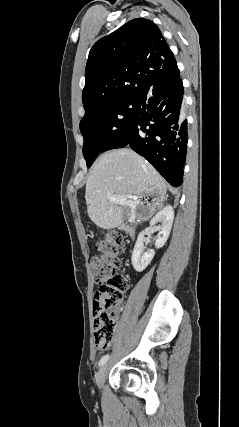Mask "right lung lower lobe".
<instances>
[{
    "instance_id": "98d812e1",
    "label": "right lung lower lobe",
    "mask_w": 239,
    "mask_h": 427,
    "mask_svg": "<svg viewBox=\"0 0 239 427\" xmlns=\"http://www.w3.org/2000/svg\"><path fill=\"white\" fill-rule=\"evenodd\" d=\"M179 73L143 90L137 97L128 140L174 187L183 181L187 151V120Z\"/></svg>"
}]
</instances>
